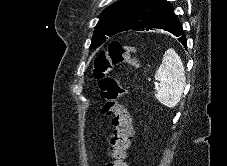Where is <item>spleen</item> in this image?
Segmentation results:
<instances>
[{
    "label": "spleen",
    "mask_w": 227,
    "mask_h": 166,
    "mask_svg": "<svg viewBox=\"0 0 227 166\" xmlns=\"http://www.w3.org/2000/svg\"><path fill=\"white\" fill-rule=\"evenodd\" d=\"M154 77L159 82L155 93L157 101L166 107H175L181 99L186 77L181 58L173 49L164 53Z\"/></svg>",
    "instance_id": "obj_1"
}]
</instances>
